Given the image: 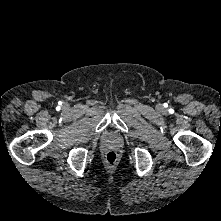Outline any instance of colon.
Returning <instances> with one entry per match:
<instances>
[{"instance_id":"colon-1","label":"colon","mask_w":221,"mask_h":221,"mask_svg":"<svg viewBox=\"0 0 221 221\" xmlns=\"http://www.w3.org/2000/svg\"><path fill=\"white\" fill-rule=\"evenodd\" d=\"M105 162H106L107 166L113 167L117 162L116 154L112 151L107 152L105 155Z\"/></svg>"}]
</instances>
